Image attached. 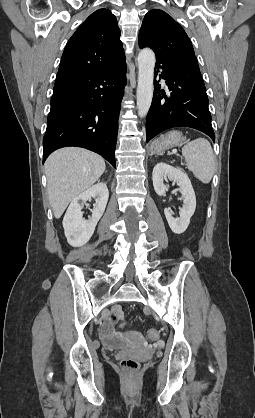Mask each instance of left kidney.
I'll use <instances>...</instances> for the list:
<instances>
[{
	"label": "left kidney",
	"mask_w": 255,
	"mask_h": 418,
	"mask_svg": "<svg viewBox=\"0 0 255 418\" xmlns=\"http://www.w3.org/2000/svg\"><path fill=\"white\" fill-rule=\"evenodd\" d=\"M167 178L177 183L179 191L184 198L180 217L174 218L169 208L164 209V214L171 230L176 234H181L187 229L190 218L195 212L196 197L187 174L166 163H158L152 173L154 190L159 196L164 195L167 190V186L164 184V180Z\"/></svg>",
	"instance_id": "1"
}]
</instances>
